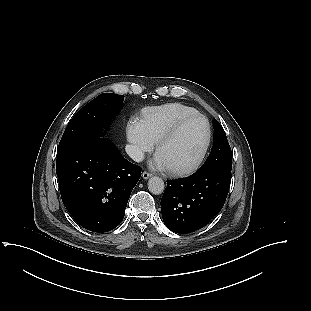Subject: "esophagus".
I'll return each mask as SVG.
<instances>
[{"label": "esophagus", "instance_id": "34e87169", "mask_svg": "<svg viewBox=\"0 0 311 311\" xmlns=\"http://www.w3.org/2000/svg\"><path fill=\"white\" fill-rule=\"evenodd\" d=\"M149 177H151V173L147 172V171H144L142 173V178L143 179H148Z\"/></svg>", "mask_w": 311, "mask_h": 311}]
</instances>
